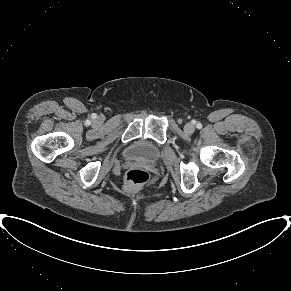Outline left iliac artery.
I'll return each mask as SVG.
<instances>
[{
    "mask_svg": "<svg viewBox=\"0 0 291 291\" xmlns=\"http://www.w3.org/2000/svg\"><path fill=\"white\" fill-rule=\"evenodd\" d=\"M202 125L200 123L197 124V128H201Z\"/></svg>",
    "mask_w": 291,
    "mask_h": 291,
    "instance_id": "obj_1",
    "label": "left iliac artery"
}]
</instances>
